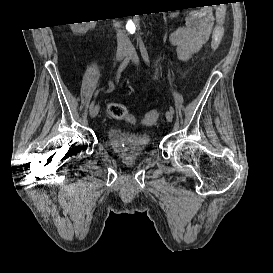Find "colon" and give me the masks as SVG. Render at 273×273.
Returning a JSON list of instances; mask_svg holds the SVG:
<instances>
[{
    "label": "colon",
    "mask_w": 273,
    "mask_h": 273,
    "mask_svg": "<svg viewBox=\"0 0 273 273\" xmlns=\"http://www.w3.org/2000/svg\"><path fill=\"white\" fill-rule=\"evenodd\" d=\"M222 38V28L217 27L213 33L211 47L213 51H217ZM107 114L117 120H125L131 124L135 122L133 115L129 112L127 107L121 103H109L106 108ZM161 112L157 109L148 111L143 117L142 123L146 126L153 124L160 117Z\"/></svg>",
    "instance_id": "obj_1"
}]
</instances>
